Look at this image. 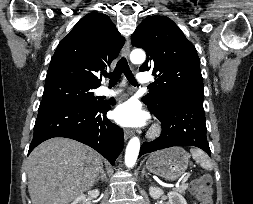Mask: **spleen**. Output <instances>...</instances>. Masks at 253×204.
<instances>
[{
	"mask_svg": "<svg viewBox=\"0 0 253 204\" xmlns=\"http://www.w3.org/2000/svg\"><path fill=\"white\" fill-rule=\"evenodd\" d=\"M193 159L200 164V166L206 170H212V163L209 157L200 149L190 150Z\"/></svg>",
	"mask_w": 253,
	"mask_h": 204,
	"instance_id": "1",
	"label": "spleen"
}]
</instances>
